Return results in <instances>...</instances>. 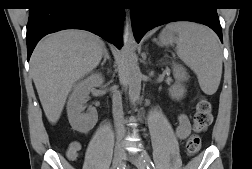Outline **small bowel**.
<instances>
[{
    "label": "small bowel",
    "instance_id": "small-bowel-1",
    "mask_svg": "<svg viewBox=\"0 0 252 169\" xmlns=\"http://www.w3.org/2000/svg\"><path fill=\"white\" fill-rule=\"evenodd\" d=\"M176 134L179 139H185L190 134V124H189L187 116L184 114H181L178 116V126L176 128ZM80 148H81V145L79 142H76V141L71 142L68 147V153L73 150L77 155Z\"/></svg>",
    "mask_w": 252,
    "mask_h": 169
}]
</instances>
